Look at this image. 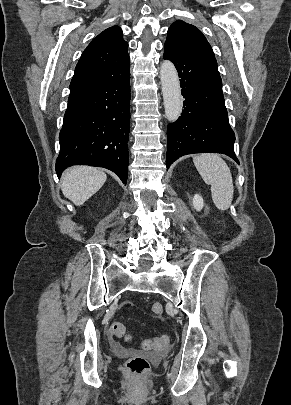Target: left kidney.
Wrapping results in <instances>:
<instances>
[{
    "label": "left kidney",
    "instance_id": "left-kidney-1",
    "mask_svg": "<svg viewBox=\"0 0 291 405\" xmlns=\"http://www.w3.org/2000/svg\"><path fill=\"white\" fill-rule=\"evenodd\" d=\"M204 206V201L203 198L201 196H199L198 194H196L193 197V207L197 210L200 211Z\"/></svg>",
    "mask_w": 291,
    "mask_h": 405
}]
</instances>
